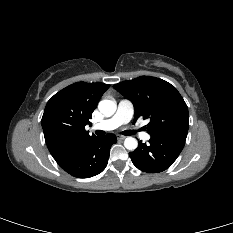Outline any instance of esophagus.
Returning a JSON list of instances; mask_svg holds the SVG:
<instances>
[{"label":"esophagus","mask_w":233,"mask_h":233,"mask_svg":"<svg viewBox=\"0 0 233 233\" xmlns=\"http://www.w3.org/2000/svg\"><path fill=\"white\" fill-rule=\"evenodd\" d=\"M117 139H118V140H124V139H125V136H123V135H118V136H117Z\"/></svg>","instance_id":"obj_1"}]
</instances>
